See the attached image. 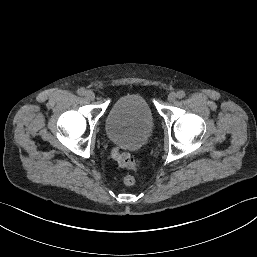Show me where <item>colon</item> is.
Here are the masks:
<instances>
[{
    "label": "colon",
    "mask_w": 257,
    "mask_h": 257,
    "mask_svg": "<svg viewBox=\"0 0 257 257\" xmlns=\"http://www.w3.org/2000/svg\"><path fill=\"white\" fill-rule=\"evenodd\" d=\"M111 155L112 158L122 167H125L131 171H134L138 168L137 160L129 153L122 152L115 148L112 150ZM135 182V177L131 174H128L124 177V184L126 186H133Z\"/></svg>",
    "instance_id": "1"
}]
</instances>
